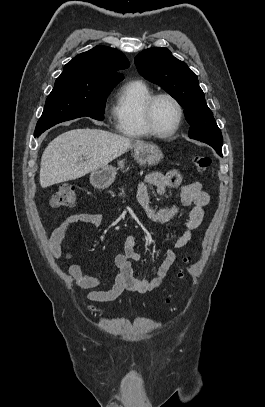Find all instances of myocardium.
Wrapping results in <instances>:
<instances>
[{"instance_id": "f54148a6", "label": "myocardium", "mask_w": 265, "mask_h": 407, "mask_svg": "<svg viewBox=\"0 0 265 407\" xmlns=\"http://www.w3.org/2000/svg\"><path fill=\"white\" fill-rule=\"evenodd\" d=\"M161 98H167L169 100H171L175 106L177 107L178 110V118L177 121L175 123V125L168 131H161L159 129H157V127L155 126L154 123V118H153V111H154V107L156 102L161 99ZM184 118V108L181 104V102L172 94L170 93H157V94H153L148 101L145 103L144 108H143V119H144V123L147 127V129L149 130V132L151 133V135L156 136V137H161V138H165V137H169L174 135L180 128L182 121Z\"/></svg>"}]
</instances>
